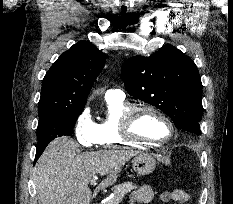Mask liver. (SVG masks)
<instances>
[{"label":"liver","instance_id":"liver-1","mask_svg":"<svg viewBox=\"0 0 233 204\" xmlns=\"http://www.w3.org/2000/svg\"><path fill=\"white\" fill-rule=\"evenodd\" d=\"M78 144L63 136L51 141L35 166L34 185L38 204H90L97 193L118 178L120 169L139 152L102 150L77 153ZM107 175L92 194L89 182Z\"/></svg>","mask_w":233,"mask_h":204}]
</instances>
